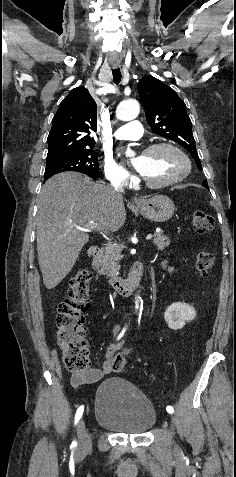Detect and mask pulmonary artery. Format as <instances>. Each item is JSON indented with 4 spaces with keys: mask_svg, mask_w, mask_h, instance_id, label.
<instances>
[{
    "mask_svg": "<svg viewBox=\"0 0 236 477\" xmlns=\"http://www.w3.org/2000/svg\"><path fill=\"white\" fill-rule=\"evenodd\" d=\"M113 134L118 140H136L142 136V125L139 121L133 120L117 128Z\"/></svg>",
    "mask_w": 236,
    "mask_h": 477,
    "instance_id": "pulmonary-artery-1",
    "label": "pulmonary artery"
}]
</instances>
